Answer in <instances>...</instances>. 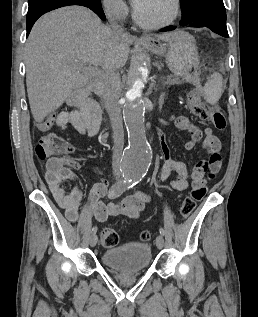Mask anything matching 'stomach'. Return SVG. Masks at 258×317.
Wrapping results in <instances>:
<instances>
[{
    "instance_id": "0dacf381",
    "label": "stomach",
    "mask_w": 258,
    "mask_h": 317,
    "mask_svg": "<svg viewBox=\"0 0 258 317\" xmlns=\"http://www.w3.org/2000/svg\"><path fill=\"white\" fill-rule=\"evenodd\" d=\"M138 44L147 50H152L154 54L165 56V62L171 72L185 78L190 74L191 68L198 64L199 56L195 38L185 30H179V38L172 42H159L149 36V38H141Z\"/></svg>"
}]
</instances>
